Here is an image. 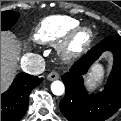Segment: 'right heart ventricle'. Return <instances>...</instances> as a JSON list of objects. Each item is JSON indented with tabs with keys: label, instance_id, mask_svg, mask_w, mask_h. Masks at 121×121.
<instances>
[{
	"label": "right heart ventricle",
	"instance_id": "right-heart-ventricle-1",
	"mask_svg": "<svg viewBox=\"0 0 121 121\" xmlns=\"http://www.w3.org/2000/svg\"><path fill=\"white\" fill-rule=\"evenodd\" d=\"M77 25L76 20L66 16H49L40 22L33 37L39 43H55L64 39Z\"/></svg>",
	"mask_w": 121,
	"mask_h": 121
}]
</instances>
